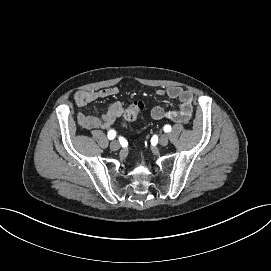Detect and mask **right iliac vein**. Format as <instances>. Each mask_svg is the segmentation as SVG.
I'll return each instance as SVG.
<instances>
[{
	"label": "right iliac vein",
	"mask_w": 271,
	"mask_h": 271,
	"mask_svg": "<svg viewBox=\"0 0 271 271\" xmlns=\"http://www.w3.org/2000/svg\"><path fill=\"white\" fill-rule=\"evenodd\" d=\"M110 148L112 151H117L120 148V144L117 141H113L110 144Z\"/></svg>",
	"instance_id": "1"
}]
</instances>
